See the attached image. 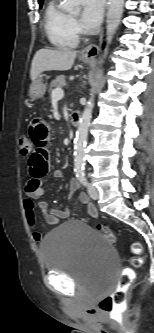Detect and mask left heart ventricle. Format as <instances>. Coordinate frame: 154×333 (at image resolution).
<instances>
[{
    "mask_svg": "<svg viewBox=\"0 0 154 333\" xmlns=\"http://www.w3.org/2000/svg\"><path fill=\"white\" fill-rule=\"evenodd\" d=\"M77 15H78V13L73 14L74 17H76Z\"/></svg>",
    "mask_w": 154,
    "mask_h": 333,
    "instance_id": "b2bd125f",
    "label": "left heart ventricle"
}]
</instances>
